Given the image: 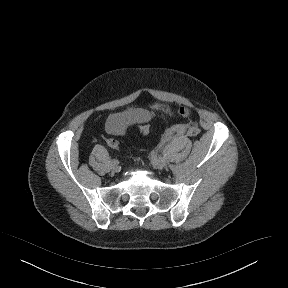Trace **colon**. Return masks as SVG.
<instances>
[{"label":"colon","mask_w":288,"mask_h":288,"mask_svg":"<svg viewBox=\"0 0 288 288\" xmlns=\"http://www.w3.org/2000/svg\"><path fill=\"white\" fill-rule=\"evenodd\" d=\"M179 114L182 115L183 117H187L190 115V111L186 108H182V109H180ZM140 130L142 133H148L150 131V126L149 125H142ZM105 143L110 148H113V149L119 148V142L113 138H107L105 140Z\"/></svg>","instance_id":"obj_1"}]
</instances>
